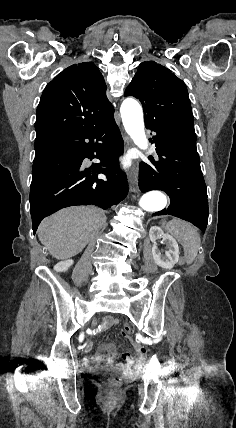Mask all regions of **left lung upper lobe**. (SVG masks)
Here are the masks:
<instances>
[{"instance_id":"5c2ea615","label":"left lung upper lobe","mask_w":236,"mask_h":428,"mask_svg":"<svg viewBox=\"0 0 236 428\" xmlns=\"http://www.w3.org/2000/svg\"><path fill=\"white\" fill-rule=\"evenodd\" d=\"M125 96L141 101L145 126L165 128L179 140L196 146L187 87L169 69L154 61L141 63Z\"/></svg>"}]
</instances>
